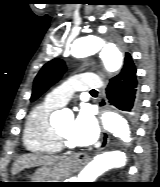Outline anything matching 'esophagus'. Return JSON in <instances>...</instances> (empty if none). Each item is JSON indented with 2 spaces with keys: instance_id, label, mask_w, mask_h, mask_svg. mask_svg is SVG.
Segmentation results:
<instances>
[{
  "instance_id": "obj_1",
  "label": "esophagus",
  "mask_w": 160,
  "mask_h": 187,
  "mask_svg": "<svg viewBox=\"0 0 160 187\" xmlns=\"http://www.w3.org/2000/svg\"><path fill=\"white\" fill-rule=\"evenodd\" d=\"M108 142H109L108 139L102 138L100 144L96 146L97 150H103L104 148H106ZM72 159L74 162L78 164H85L89 161L90 157L87 153H79V154H75Z\"/></svg>"
}]
</instances>
